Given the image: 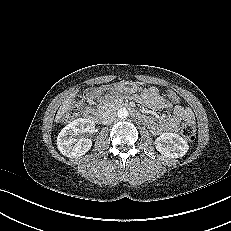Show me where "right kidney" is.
Instances as JSON below:
<instances>
[{"mask_svg":"<svg viewBox=\"0 0 231 231\" xmlns=\"http://www.w3.org/2000/svg\"><path fill=\"white\" fill-rule=\"evenodd\" d=\"M95 123L86 118H78L66 125L57 137L59 151L67 157L76 158L88 152L92 146V140L88 138L77 139L78 134L92 132Z\"/></svg>","mask_w":231,"mask_h":231,"instance_id":"right-kidney-1","label":"right kidney"}]
</instances>
